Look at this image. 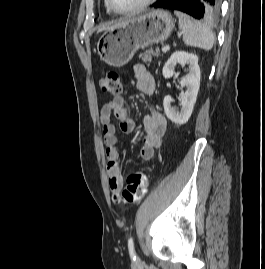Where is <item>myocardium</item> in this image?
Wrapping results in <instances>:
<instances>
[{
    "label": "myocardium",
    "instance_id": "obj_1",
    "mask_svg": "<svg viewBox=\"0 0 265 269\" xmlns=\"http://www.w3.org/2000/svg\"><path fill=\"white\" fill-rule=\"evenodd\" d=\"M155 1L156 0H144L140 4H138L137 6L131 8V9L118 10L112 5L111 0H105L108 9L111 12L116 13V14H133V13H137L139 11L144 10L145 8L150 6L152 3H154Z\"/></svg>",
    "mask_w": 265,
    "mask_h": 269
}]
</instances>
